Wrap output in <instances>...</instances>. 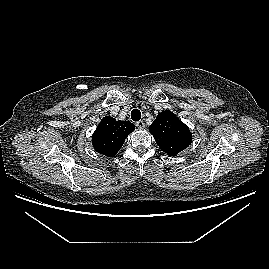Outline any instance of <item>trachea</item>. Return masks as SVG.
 Here are the masks:
<instances>
[{
  "label": "trachea",
  "mask_w": 269,
  "mask_h": 269,
  "mask_svg": "<svg viewBox=\"0 0 269 269\" xmlns=\"http://www.w3.org/2000/svg\"><path fill=\"white\" fill-rule=\"evenodd\" d=\"M131 119L133 121H139L141 119V112L139 109H133L131 112Z\"/></svg>",
  "instance_id": "3493384b"
}]
</instances>
